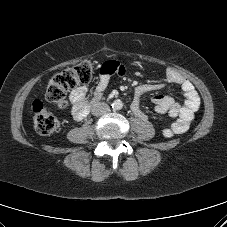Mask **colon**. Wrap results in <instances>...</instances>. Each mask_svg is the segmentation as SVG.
I'll return each mask as SVG.
<instances>
[{
  "label": "colon",
  "instance_id": "colon-1",
  "mask_svg": "<svg viewBox=\"0 0 227 227\" xmlns=\"http://www.w3.org/2000/svg\"><path fill=\"white\" fill-rule=\"evenodd\" d=\"M93 73V62L82 61L53 75L47 85L46 100L57 107H65L67 105V92L79 85L89 83ZM32 113L35 130L39 134L50 135L58 130L59 120L42 100L37 99L33 102Z\"/></svg>",
  "mask_w": 227,
  "mask_h": 227
}]
</instances>
